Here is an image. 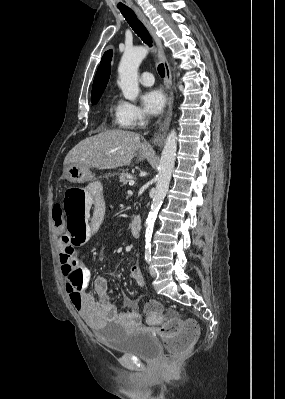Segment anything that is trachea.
<instances>
[{
	"mask_svg": "<svg viewBox=\"0 0 285 399\" xmlns=\"http://www.w3.org/2000/svg\"><path fill=\"white\" fill-rule=\"evenodd\" d=\"M120 11L134 32L143 40L145 44L151 46L152 38L143 23L137 18L134 11L132 9H124ZM158 73L161 77L165 76V68L163 64L158 65Z\"/></svg>",
	"mask_w": 285,
	"mask_h": 399,
	"instance_id": "1",
	"label": "trachea"
}]
</instances>
